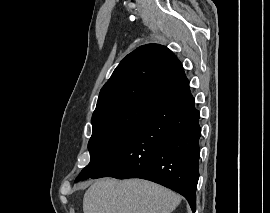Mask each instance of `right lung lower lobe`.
I'll use <instances>...</instances> for the list:
<instances>
[{"instance_id":"98d812e1","label":"right lung lower lobe","mask_w":270,"mask_h":213,"mask_svg":"<svg viewBox=\"0 0 270 213\" xmlns=\"http://www.w3.org/2000/svg\"><path fill=\"white\" fill-rule=\"evenodd\" d=\"M199 118L187 85L159 102L101 171L90 178L150 180L183 195L195 212Z\"/></svg>"}]
</instances>
